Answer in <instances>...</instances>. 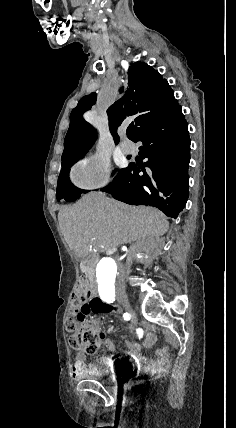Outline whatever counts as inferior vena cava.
<instances>
[{
	"label": "inferior vena cava",
	"instance_id": "inferior-vena-cava-1",
	"mask_svg": "<svg viewBox=\"0 0 236 428\" xmlns=\"http://www.w3.org/2000/svg\"><path fill=\"white\" fill-rule=\"evenodd\" d=\"M112 246H115V243H112ZM117 259V263L119 264L121 261V259L119 258L120 256L117 254L115 256ZM117 269L120 271V275L118 276V286H117V290H116V295L119 298H123L126 295V292L124 290L125 287V281H124V277H125V273H126V268L124 267V264L118 265Z\"/></svg>",
	"mask_w": 236,
	"mask_h": 428
}]
</instances>
